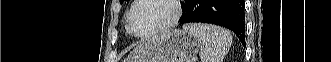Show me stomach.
Returning <instances> with one entry per match:
<instances>
[{
  "instance_id": "obj_1",
  "label": "stomach",
  "mask_w": 331,
  "mask_h": 62,
  "mask_svg": "<svg viewBox=\"0 0 331 62\" xmlns=\"http://www.w3.org/2000/svg\"><path fill=\"white\" fill-rule=\"evenodd\" d=\"M201 42L185 30H170L145 40L131 53V62H188Z\"/></svg>"
}]
</instances>
